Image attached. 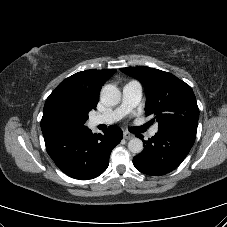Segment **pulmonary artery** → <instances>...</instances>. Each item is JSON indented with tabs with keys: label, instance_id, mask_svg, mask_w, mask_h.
I'll return each instance as SVG.
<instances>
[{
	"label": "pulmonary artery",
	"instance_id": "e3ab8cb5",
	"mask_svg": "<svg viewBox=\"0 0 227 227\" xmlns=\"http://www.w3.org/2000/svg\"><path fill=\"white\" fill-rule=\"evenodd\" d=\"M142 98V87L137 81L127 82L122 88L121 104L114 110L103 114H98L91 118L90 124L97 126L100 124H112L119 121L125 115L130 113L140 102ZM158 132V127L154 126L150 130V136Z\"/></svg>",
	"mask_w": 227,
	"mask_h": 227
}]
</instances>
